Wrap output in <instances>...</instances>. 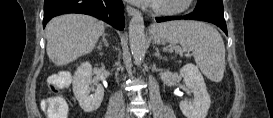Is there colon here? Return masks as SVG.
<instances>
[{
    "instance_id": "5ec220e1",
    "label": "colon",
    "mask_w": 273,
    "mask_h": 118,
    "mask_svg": "<svg viewBox=\"0 0 273 118\" xmlns=\"http://www.w3.org/2000/svg\"><path fill=\"white\" fill-rule=\"evenodd\" d=\"M51 84L56 89H60L64 86V81L52 77ZM41 106L48 118H66L68 107L65 99L60 95L43 99Z\"/></svg>"
}]
</instances>
